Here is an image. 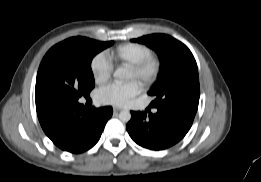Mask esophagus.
I'll list each match as a JSON object with an SVG mask.
<instances>
[{"label": "esophagus", "instance_id": "34e87169", "mask_svg": "<svg viewBox=\"0 0 261 182\" xmlns=\"http://www.w3.org/2000/svg\"><path fill=\"white\" fill-rule=\"evenodd\" d=\"M122 110H123V108L113 107V111H114V112H120V111H122Z\"/></svg>", "mask_w": 261, "mask_h": 182}]
</instances>
